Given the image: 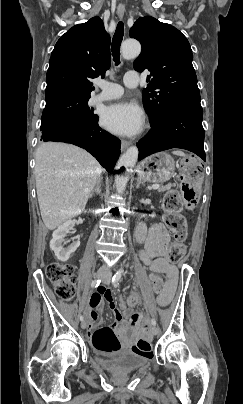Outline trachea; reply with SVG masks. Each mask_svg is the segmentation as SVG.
<instances>
[{
  "label": "trachea",
  "instance_id": "trachea-1",
  "mask_svg": "<svg viewBox=\"0 0 243 404\" xmlns=\"http://www.w3.org/2000/svg\"><path fill=\"white\" fill-rule=\"evenodd\" d=\"M123 31H124L123 22H119L111 44L112 56L116 65H119L120 63V47L121 42L123 40Z\"/></svg>",
  "mask_w": 243,
  "mask_h": 404
}]
</instances>
